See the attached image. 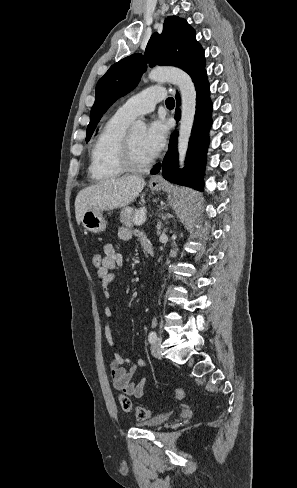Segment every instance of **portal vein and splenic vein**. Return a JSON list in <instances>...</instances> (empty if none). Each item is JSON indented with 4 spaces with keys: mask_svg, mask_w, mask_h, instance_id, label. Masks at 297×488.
Masks as SVG:
<instances>
[{
    "mask_svg": "<svg viewBox=\"0 0 297 488\" xmlns=\"http://www.w3.org/2000/svg\"><path fill=\"white\" fill-rule=\"evenodd\" d=\"M133 209H130L129 211H132ZM146 208L143 207L140 209V212L135 215V224L140 226L146 221Z\"/></svg>",
    "mask_w": 297,
    "mask_h": 488,
    "instance_id": "18ae733b",
    "label": "portal vein and splenic vein"
}]
</instances>
